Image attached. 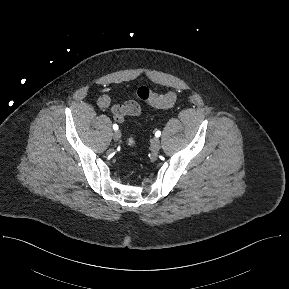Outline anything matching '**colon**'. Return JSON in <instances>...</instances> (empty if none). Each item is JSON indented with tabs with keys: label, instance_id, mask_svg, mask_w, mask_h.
I'll return each instance as SVG.
<instances>
[{
	"label": "colon",
	"instance_id": "1",
	"mask_svg": "<svg viewBox=\"0 0 289 289\" xmlns=\"http://www.w3.org/2000/svg\"><path fill=\"white\" fill-rule=\"evenodd\" d=\"M135 97L140 100H143L156 108H169L173 106L176 101V94L174 92H167L165 94H158L152 92L146 87H139L134 92ZM127 144L129 146L135 145V139L132 136L127 138Z\"/></svg>",
	"mask_w": 289,
	"mask_h": 289
}]
</instances>
